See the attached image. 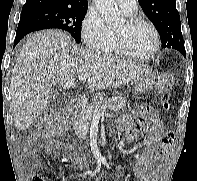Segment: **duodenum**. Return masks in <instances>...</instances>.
<instances>
[{
    "label": "duodenum",
    "instance_id": "410a0bca",
    "mask_svg": "<svg viewBox=\"0 0 197 181\" xmlns=\"http://www.w3.org/2000/svg\"><path fill=\"white\" fill-rule=\"evenodd\" d=\"M80 110V103L77 100L71 101L69 104V111L71 113H77Z\"/></svg>",
    "mask_w": 197,
    "mask_h": 181
}]
</instances>
